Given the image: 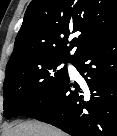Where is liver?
<instances>
[{
	"label": "liver",
	"instance_id": "1",
	"mask_svg": "<svg viewBox=\"0 0 117 136\" xmlns=\"http://www.w3.org/2000/svg\"><path fill=\"white\" fill-rule=\"evenodd\" d=\"M4 136H68L55 127L37 121H28L10 126Z\"/></svg>",
	"mask_w": 117,
	"mask_h": 136
}]
</instances>
